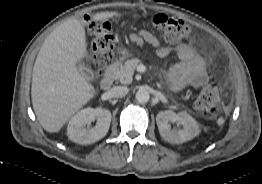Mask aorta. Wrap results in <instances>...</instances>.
<instances>
[{"instance_id": "762f6f07", "label": "aorta", "mask_w": 262, "mask_h": 184, "mask_svg": "<svg viewBox=\"0 0 262 184\" xmlns=\"http://www.w3.org/2000/svg\"><path fill=\"white\" fill-rule=\"evenodd\" d=\"M150 99V94L147 90L145 89H140L137 93H136V100L139 103H146L148 102Z\"/></svg>"}]
</instances>
